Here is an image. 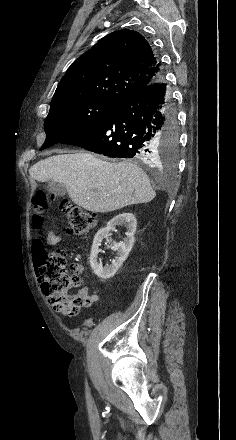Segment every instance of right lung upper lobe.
I'll return each instance as SVG.
<instances>
[{"instance_id": "cb5924a9", "label": "right lung upper lobe", "mask_w": 236, "mask_h": 440, "mask_svg": "<svg viewBox=\"0 0 236 440\" xmlns=\"http://www.w3.org/2000/svg\"><path fill=\"white\" fill-rule=\"evenodd\" d=\"M157 63L140 33L112 32L72 63L51 103L92 99L120 105L162 76Z\"/></svg>"}]
</instances>
